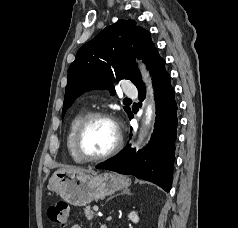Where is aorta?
<instances>
[{"label": "aorta", "instance_id": "762f6f07", "mask_svg": "<svg viewBox=\"0 0 238 228\" xmlns=\"http://www.w3.org/2000/svg\"><path fill=\"white\" fill-rule=\"evenodd\" d=\"M151 116H152V107L151 105H149L146 109V113H145V117H146V124L149 123V121L151 120Z\"/></svg>", "mask_w": 238, "mask_h": 228}]
</instances>
